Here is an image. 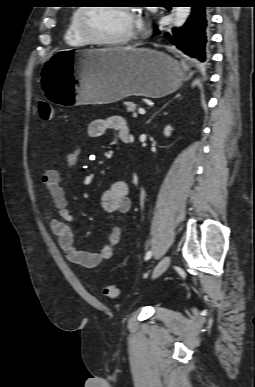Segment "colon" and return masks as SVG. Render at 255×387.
Listing matches in <instances>:
<instances>
[{"label":"colon","mask_w":255,"mask_h":387,"mask_svg":"<svg viewBox=\"0 0 255 387\" xmlns=\"http://www.w3.org/2000/svg\"><path fill=\"white\" fill-rule=\"evenodd\" d=\"M38 112L42 120H51L53 117V108L46 102H39ZM103 294L109 298H116L119 290L116 285L109 283L104 285Z\"/></svg>","instance_id":"5ec220e1"}]
</instances>
